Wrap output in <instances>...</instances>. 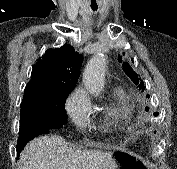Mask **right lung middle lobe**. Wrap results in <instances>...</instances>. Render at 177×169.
Listing matches in <instances>:
<instances>
[{
  "label": "right lung middle lobe",
  "instance_id": "right-lung-middle-lobe-1",
  "mask_svg": "<svg viewBox=\"0 0 177 169\" xmlns=\"http://www.w3.org/2000/svg\"><path fill=\"white\" fill-rule=\"evenodd\" d=\"M67 96L52 102L22 101L20 124L32 122L43 127L61 128L67 121L65 101Z\"/></svg>",
  "mask_w": 177,
  "mask_h": 169
}]
</instances>
